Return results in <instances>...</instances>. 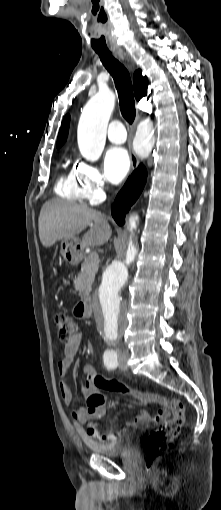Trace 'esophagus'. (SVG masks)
Masks as SVG:
<instances>
[{"mask_svg": "<svg viewBox=\"0 0 221 510\" xmlns=\"http://www.w3.org/2000/svg\"><path fill=\"white\" fill-rule=\"evenodd\" d=\"M120 57L123 59V60H126V55L125 54H121ZM130 159H131V167H132V170H136L137 167H138V164H139V161H138V158L136 156V154L134 153L133 149L130 148Z\"/></svg>", "mask_w": 221, "mask_h": 510, "instance_id": "esophagus-1", "label": "esophagus"}]
</instances>
